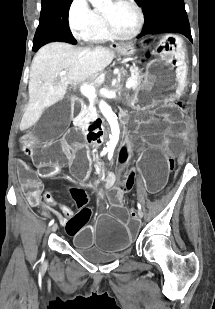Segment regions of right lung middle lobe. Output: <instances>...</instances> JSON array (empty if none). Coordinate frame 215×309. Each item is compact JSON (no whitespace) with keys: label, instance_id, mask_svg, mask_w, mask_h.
<instances>
[{"label":"right lung middle lobe","instance_id":"dd1d6c3e","mask_svg":"<svg viewBox=\"0 0 215 309\" xmlns=\"http://www.w3.org/2000/svg\"><path fill=\"white\" fill-rule=\"evenodd\" d=\"M73 0H42L39 26L33 40V50L37 51L51 41L76 44L68 24V14Z\"/></svg>","mask_w":215,"mask_h":309}]
</instances>
